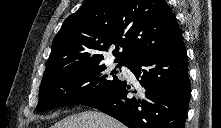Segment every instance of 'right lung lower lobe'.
I'll use <instances>...</instances> for the list:
<instances>
[{
	"instance_id": "1",
	"label": "right lung lower lobe",
	"mask_w": 221,
	"mask_h": 128,
	"mask_svg": "<svg viewBox=\"0 0 221 128\" xmlns=\"http://www.w3.org/2000/svg\"><path fill=\"white\" fill-rule=\"evenodd\" d=\"M126 66L140 79L143 88L140 96L126 98L130 85L121 81L83 105L96 108L129 128H184L190 100L184 42L138 56Z\"/></svg>"
}]
</instances>
